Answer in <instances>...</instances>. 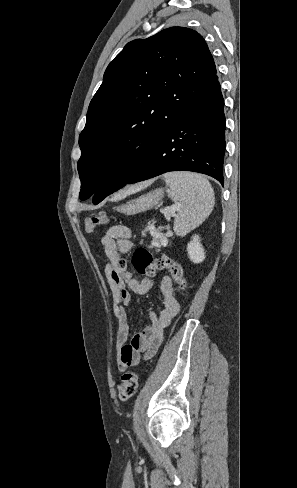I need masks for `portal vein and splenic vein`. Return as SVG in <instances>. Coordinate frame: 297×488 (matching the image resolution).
<instances>
[{
  "label": "portal vein and splenic vein",
  "mask_w": 297,
  "mask_h": 488,
  "mask_svg": "<svg viewBox=\"0 0 297 488\" xmlns=\"http://www.w3.org/2000/svg\"><path fill=\"white\" fill-rule=\"evenodd\" d=\"M176 208H177V206L174 205V206L165 208L162 212L165 214L166 217L170 218V216H172V214L174 213Z\"/></svg>",
  "instance_id": "1"
}]
</instances>
